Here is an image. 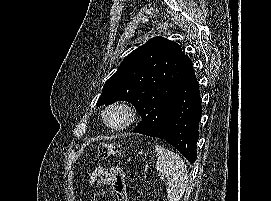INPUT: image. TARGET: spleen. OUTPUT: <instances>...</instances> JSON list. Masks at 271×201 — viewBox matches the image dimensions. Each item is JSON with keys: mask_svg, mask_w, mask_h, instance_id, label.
Wrapping results in <instances>:
<instances>
[{"mask_svg": "<svg viewBox=\"0 0 271 201\" xmlns=\"http://www.w3.org/2000/svg\"><path fill=\"white\" fill-rule=\"evenodd\" d=\"M154 149L157 155L156 169L167 178V198L169 201H180L187 186L186 164L173 151L160 145Z\"/></svg>", "mask_w": 271, "mask_h": 201, "instance_id": "3e777b00", "label": "spleen"}]
</instances>
